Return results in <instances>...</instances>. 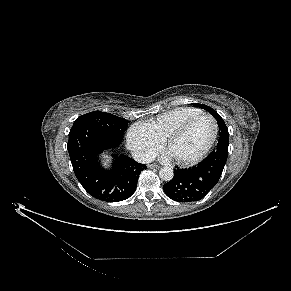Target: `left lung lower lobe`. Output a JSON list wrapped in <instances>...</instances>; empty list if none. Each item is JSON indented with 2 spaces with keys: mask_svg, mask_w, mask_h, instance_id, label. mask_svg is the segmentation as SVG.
Here are the masks:
<instances>
[{
  "mask_svg": "<svg viewBox=\"0 0 291 291\" xmlns=\"http://www.w3.org/2000/svg\"><path fill=\"white\" fill-rule=\"evenodd\" d=\"M228 155V140L218 144L200 164L189 169H175L174 177L163 186L166 195L177 202L204 198L219 181Z\"/></svg>",
  "mask_w": 291,
  "mask_h": 291,
  "instance_id": "left-lung-lower-lobe-1",
  "label": "left lung lower lobe"
}]
</instances>
